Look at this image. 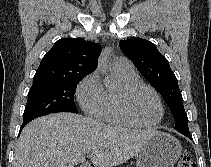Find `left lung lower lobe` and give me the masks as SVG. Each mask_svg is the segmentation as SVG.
<instances>
[{"mask_svg": "<svg viewBox=\"0 0 211 167\" xmlns=\"http://www.w3.org/2000/svg\"><path fill=\"white\" fill-rule=\"evenodd\" d=\"M182 134H184L185 136H187V137L191 138V136H190V133H189V132H185V133H182Z\"/></svg>", "mask_w": 211, "mask_h": 167, "instance_id": "obj_1", "label": "left lung lower lobe"}]
</instances>
